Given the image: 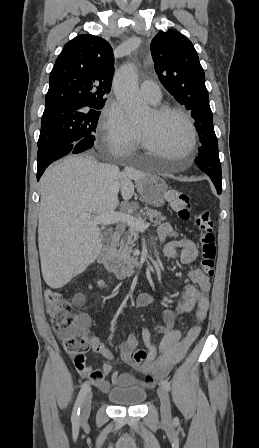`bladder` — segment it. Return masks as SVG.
I'll return each mask as SVG.
<instances>
[{"label": "bladder", "instance_id": "obj_1", "mask_svg": "<svg viewBox=\"0 0 259 448\" xmlns=\"http://www.w3.org/2000/svg\"><path fill=\"white\" fill-rule=\"evenodd\" d=\"M146 390L141 386L118 387L108 392V399L119 406H137L146 399Z\"/></svg>", "mask_w": 259, "mask_h": 448}]
</instances>
